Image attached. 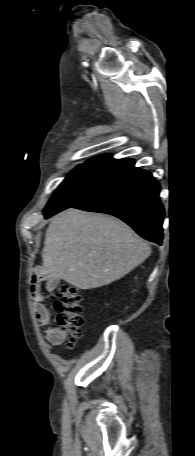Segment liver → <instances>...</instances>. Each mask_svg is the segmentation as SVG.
<instances>
[{
	"mask_svg": "<svg viewBox=\"0 0 195 456\" xmlns=\"http://www.w3.org/2000/svg\"><path fill=\"white\" fill-rule=\"evenodd\" d=\"M150 253L148 243L121 220L67 209L48 226L41 274L93 289L124 277Z\"/></svg>",
	"mask_w": 195,
	"mask_h": 456,
	"instance_id": "6515ba94",
	"label": "liver"
}]
</instances>
